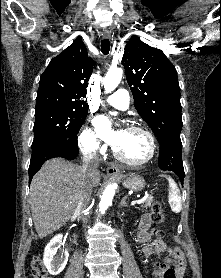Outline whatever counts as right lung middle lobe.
<instances>
[{"label": "right lung middle lobe", "mask_w": 221, "mask_h": 278, "mask_svg": "<svg viewBox=\"0 0 221 278\" xmlns=\"http://www.w3.org/2000/svg\"><path fill=\"white\" fill-rule=\"evenodd\" d=\"M87 113L88 110L69 107L36 108L32 147L50 138H68L76 141Z\"/></svg>", "instance_id": "right-lung-middle-lobe-1"}]
</instances>
